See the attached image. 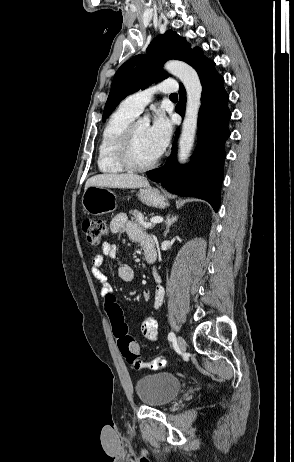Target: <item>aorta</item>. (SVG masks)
Segmentation results:
<instances>
[{
    "label": "aorta",
    "instance_id": "1",
    "mask_svg": "<svg viewBox=\"0 0 294 462\" xmlns=\"http://www.w3.org/2000/svg\"><path fill=\"white\" fill-rule=\"evenodd\" d=\"M164 68L181 80L187 93L186 111L178 152L179 162L185 163L189 158L195 140L198 113L201 106L202 85L197 72L182 61H168Z\"/></svg>",
    "mask_w": 294,
    "mask_h": 462
}]
</instances>
